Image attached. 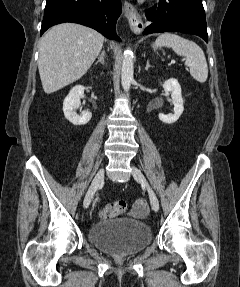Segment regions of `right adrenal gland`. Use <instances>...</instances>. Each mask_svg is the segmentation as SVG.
Instances as JSON below:
<instances>
[{
	"mask_svg": "<svg viewBox=\"0 0 240 287\" xmlns=\"http://www.w3.org/2000/svg\"><path fill=\"white\" fill-rule=\"evenodd\" d=\"M104 57H105V51L102 50L100 56L98 57V61H97L95 64L101 63L102 65H104V63H105V62H104Z\"/></svg>",
	"mask_w": 240,
	"mask_h": 287,
	"instance_id": "1",
	"label": "right adrenal gland"
}]
</instances>
